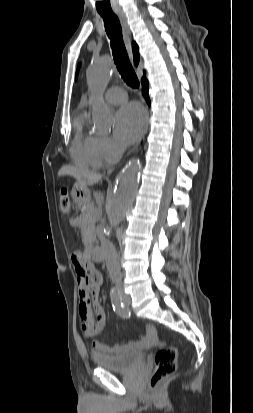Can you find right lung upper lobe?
<instances>
[{"instance_id":"cb5924a9","label":"right lung upper lobe","mask_w":253,"mask_h":413,"mask_svg":"<svg viewBox=\"0 0 253 413\" xmlns=\"http://www.w3.org/2000/svg\"><path fill=\"white\" fill-rule=\"evenodd\" d=\"M133 54H134V63L135 65H138L139 62V53H138V47L136 43L133 42Z\"/></svg>"}]
</instances>
